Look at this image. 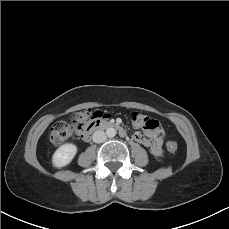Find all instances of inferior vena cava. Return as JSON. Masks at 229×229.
Segmentation results:
<instances>
[{"label": "inferior vena cava", "mask_w": 229, "mask_h": 229, "mask_svg": "<svg viewBox=\"0 0 229 229\" xmlns=\"http://www.w3.org/2000/svg\"><path fill=\"white\" fill-rule=\"evenodd\" d=\"M92 139H93V142H95V143H102V142L106 141L107 137H106V134L104 131L98 130V131L94 132Z\"/></svg>", "instance_id": "obj_1"}]
</instances>
